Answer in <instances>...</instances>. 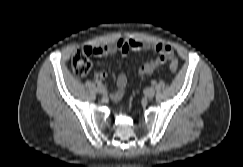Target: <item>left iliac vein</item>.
<instances>
[{"instance_id":"left-iliac-vein-1","label":"left iliac vein","mask_w":243,"mask_h":167,"mask_svg":"<svg viewBox=\"0 0 243 167\" xmlns=\"http://www.w3.org/2000/svg\"><path fill=\"white\" fill-rule=\"evenodd\" d=\"M145 96L149 99L153 98L155 96V90L154 88H148L146 91H145Z\"/></svg>"}]
</instances>
